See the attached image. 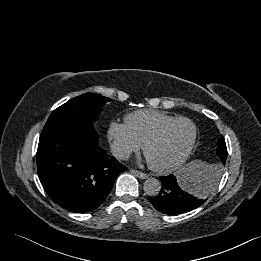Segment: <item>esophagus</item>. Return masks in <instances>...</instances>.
<instances>
[{
	"mask_svg": "<svg viewBox=\"0 0 261 261\" xmlns=\"http://www.w3.org/2000/svg\"><path fill=\"white\" fill-rule=\"evenodd\" d=\"M131 172H132L133 174H135V175H136L138 178H140V179H146V178H148V175H147L146 173L141 172V171L132 169Z\"/></svg>",
	"mask_w": 261,
	"mask_h": 261,
	"instance_id": "esophagus-1",
	"label": "esophagus"
}]
</instances>
